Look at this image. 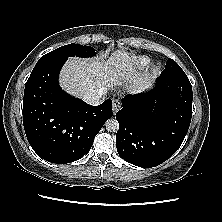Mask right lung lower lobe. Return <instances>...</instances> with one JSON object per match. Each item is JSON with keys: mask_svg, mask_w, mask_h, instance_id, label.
Segmentation results:
<instances>
[{"mask_svg": "<svg viewBox=\"0 0 222 222\" xmlns=\"http://www.w3.org/2000/svg\"><path fill=\"white\" fill-rule=\"evenodd\" d=\"M65 62L37 64L23 99V124L30 145L41 158L58 164L83 157L113 114L111 99L92 106L60 88L58 76Z\"/></svg>", "mask_w": 222, "mask_h": 222, "instance_id": "obj_1", "label": "right lung lower lobe"}]
</instances>
